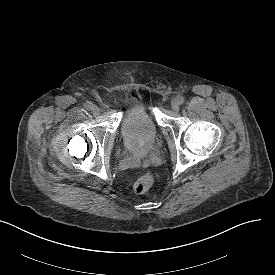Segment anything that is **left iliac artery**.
<instances>
[{
	"label": "left iliac artery",
	"instance_id": "obj_1",
	"mask_svg": "<svg viewBox=\"0 0 275 275\" xmlns=\"http://www.w3.org/2000/svg\"><path fill=\"white\" fill-rule=\"evenodd\" d=\"M177 100H178L179 104L184 103V97L183 96H177Z\"/></svg>",
	"mask_w": 275,
	"mask_h": 275
}]
</instances>
